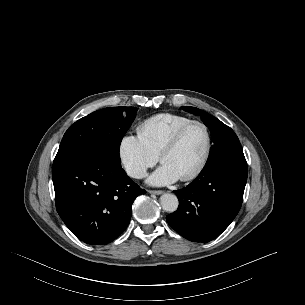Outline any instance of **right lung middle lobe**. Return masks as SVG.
Masks as SVG:
<instances>
[{
    "label": "right lung middle lobe",
    "mask_w": 305,
    "mask_h": 305,
    "mask_svg": "<svg viewBox=\"0 0 305 305\" xmlns=\"http://www.w3.org/2000/svg\"><path fill=\"white\" fill-rule=\"evenodd\" d=\"M136 111L135 107H110L79 119L64 134L55 158L94 151L113 162L121 163L120 143Z\"/></svg>",
    "instance_id": "obj_1"
}]
</instances>
